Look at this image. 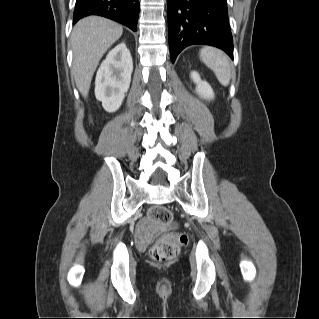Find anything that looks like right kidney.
<instances>
[{"label": "right kidney", "mask_w": 319, "mask_h": 319, "mask_svg": "<svg viewBox=\"0 0 319 319\" xmlns=\"http://www.w3.org/2000/svg\"><path fill=\"white\" fill-rule=\"evenodd\" d=\"M132 71L130 51L125 43H120L108 53L96 74L95 96L107 112H115L121 106Z\"/></svg>", "instance_id": "ca27d5eb"}]
</instances>
